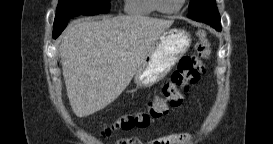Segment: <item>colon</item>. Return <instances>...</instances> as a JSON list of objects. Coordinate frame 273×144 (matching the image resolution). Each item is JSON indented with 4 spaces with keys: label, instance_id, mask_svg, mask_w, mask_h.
Wrapping results in <instances>:
<instances>
[{
    "label": "colon",
    "instance_id": "obj_1",
    "mask_svg": "<svg viewBox=\"0 0 273 144\" xmlns=\"http://www.w3.org/2000/svg\"><path fill=\"white\" fill-rule=\"evenodd\" d=\"M196 50L195 55L186 56L179 61L161 93L156 95L144 109L119 116L105 127L104 134L109 135L116 130L147 127L152 120L162 117L169 109L181 105L189 87L198 82L205 72L210 47L203 34L200 35V41L196 44Z\"/></svg>",
    "mask_w": 273,
    "mask_h": 144
}]
</instances>
